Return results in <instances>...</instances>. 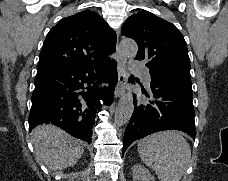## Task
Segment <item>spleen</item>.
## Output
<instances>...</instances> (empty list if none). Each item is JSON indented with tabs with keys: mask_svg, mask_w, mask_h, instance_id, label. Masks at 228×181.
I'll return each mask as SVG.
<instances>
[{
	"mask_svg": "<svg viewBox=\"0 0 228 181\" xmlns=\"http://www.w3.org/2000/svg\"><path fill=\"white\" fill-rule=\"evenodd\" d=\"M138 153L160 181H180L191 155L186 139L176 131L155 133L138 141Z\"/></svg>",
	"mask_w": 228,
	"mask_h": 181,
	"instance_id": "1",
	"label": "spleen"
}]
</instances>
